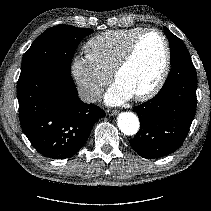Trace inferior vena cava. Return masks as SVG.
Wrapping results in <instances>:
<instances>
[{"label":"inferior vena cava","instance_id":"inferior-vena-cava-1","mask_svg":"<svg viewBox=\"0 0 211 211\" xmlns=\"http://www.w3.org/2000/svg\"><path fill=\"white\" fill-rule=\"evenodd\" d=\"M102 91L100 89L87 88L79 91L81 101L85 103H94L101 98Z\"/></svg>","mask_w":211,"mask_h":211}]
</instances>
